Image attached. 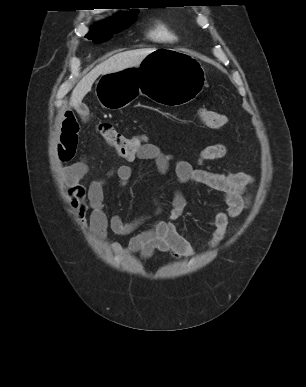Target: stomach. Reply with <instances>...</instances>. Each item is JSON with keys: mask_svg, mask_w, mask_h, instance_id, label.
Returning <instances> with one entry per match:
<instances>
[{"mask_svg": "<svg viewBox=\"0 0 306 387\" xmlns=\"http://www.w3.org/2000/svg\"><path fill=\"white\" fill-rule=\"evenodd\" d=\"M205 82L197 59L170 46H156L135 69L104 74L98 80L97 97L102 107L121 109L145 91V98L162 108H183L192 104Z\"/></svg>", "mask_w": 306, "mask_h": 387, "instance_id": "stomach-1", "label": "stomach"}]
</instances>
